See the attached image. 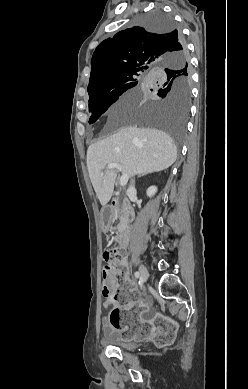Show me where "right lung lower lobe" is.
Instances as JSON below:
<instances>
[{"mask_svg":"<svg viewBox=\"0 0 248 389\" xmlns=\"http://www.w3.org/2000/svg\"><path fill=\"white\" fill-rule=\"evenodd\" d=\"M182 44H183V39H182V36H181V34H180L178 46L180 47V45H182ZM179 47H178V48H179ZM178 48H177V49H178Z\"/></svg>","mask_w":248,"mask_h":389,"instance_id":"obj_1","label":"right lung lower lobe"}]
</instances>
